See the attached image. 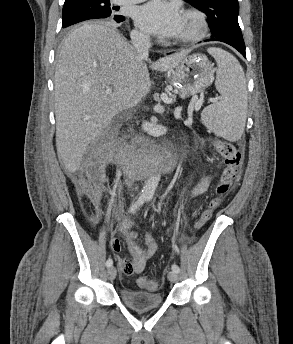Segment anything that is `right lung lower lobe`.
<instances>
[{
    "mask_svg": "<svg viewBox=\"0 0 293 344\" xmlns=\"http://www.w3.org/2000/svg\"><path fill=\"white\" fill-rule=\"evenodd\" d=\"M107 20L112 21V22L121 23L125 20V18L123 16H119V17H114V18L107 19Z\"/></svg>",
    "mask_w": 293,
    "mask_h": 344,
    "instance_id": "obj_1",
    "label": "right lung lower lobe"
}]
</instances>
